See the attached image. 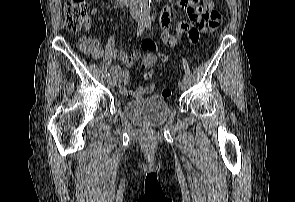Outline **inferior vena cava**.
Wrapping results in <instances>:
<instances>
[{
    "label": "inferior vena cava",
    "mask_w": 295,
    "mask_h": 202,
    "mask_svg": "<svg viewBox=\"0 0 295 202\" xmlns=\"http://www.w3.org/2000/svg\"><path fill=\"white\" fill-rule=\"evenodd\" d=\"M128 1L130 4V7H129L130 15L134 19H138L140 17V10H139L138 4H137L138 0H128Z\"/></svg>",
    "instance_id": "inferior-vena-cava-1"
}]
</instances>
